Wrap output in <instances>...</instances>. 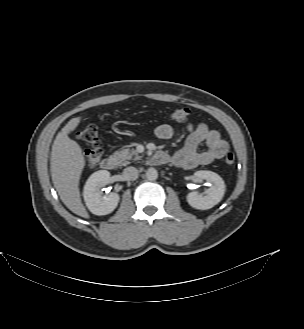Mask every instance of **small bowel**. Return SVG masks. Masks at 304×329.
Returning a JSON list of instances; mask_svg holds the SVG:
<instances>
[{
    "label": "small bowel",
    "instance_id": "obj_1",
    "mask_svg": "<svg viewBox=\"0 0 304 329\" xmlns=\"http://www.w3.org/2000/svg\"><path fill=\"white\" fill-rule=\"evenodd\" d=\"M188 136L185 145L172 155H169L171 163L179 168L190 170L198 166L207 165L214 160L224 157L229 150V144L220 133L210 128L207 124H187ZM159 139L168 140L172 138L174 129L171 125L162 124L155 130ZM206 144L205 151H199L201 144Z\"/></svg>",
    "mask_w": 304,
    "mask_h": 329
}]
</instances>
